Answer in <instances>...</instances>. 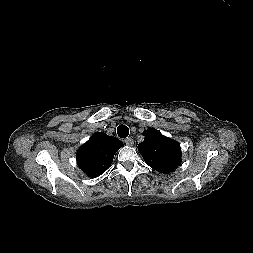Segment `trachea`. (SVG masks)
<instances>
[{
	"mask_svg": "<svg viewBox=\"0 0 253 253\" xmlns=\"http://www.w3.org/2000/svg\"><path fill=\"white\" fill-rule=\"evenodd\" d=\"M117 134L121 138H126L129 135V129L125 125H119L117 127Z\"/></svg>",
	"mask_w": 253,
	"mask_h": 253,
	"instance_id": "obj_1",
	"label": "trachea"
}]
</instances>
